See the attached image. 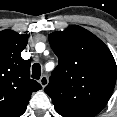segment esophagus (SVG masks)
I'll use <instances>...</instances> for the list:
<instances>
[{"mask_svg":"<svg viewBox=\"0 0 117 117\" xmlns=\"http://www.w3.org/2000/svg\"><path fill=\"white\" fill-rule=\"evenodd\" d=\"M39 83L41 84V86L44 88L45 86H47L48 84V77L46 75H43L40 80Z\"/></svg>","mask_w":117,"mask_h":117,"instance_id":"obj_1","label":"esophagus"}]
</instances>
